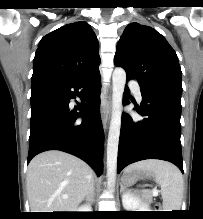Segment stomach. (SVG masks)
Segmentation results:
<instances>
[{"label":"stomach","instance_id":"stomach-1","mask_svg":"<svg viewBox=\"0 0 203 219\" xmlns=\"http://www.w3.org/2000/svg\"><path fill=\"white\" fill-rule=\"evenodd\" d=\"M150 176V173L146 170H132L125 172L122 177V181L125 184H133L140 179H144Z\"/></svg>","mask_w":203,"mask_h":219}]
</instances>
